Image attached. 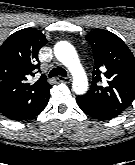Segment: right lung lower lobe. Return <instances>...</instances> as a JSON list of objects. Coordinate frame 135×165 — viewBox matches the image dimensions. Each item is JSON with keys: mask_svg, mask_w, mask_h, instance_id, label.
I'll return each instance as SVG.
<instances>
[{"mask_svg": "<svg viewBox=\"0 0 135 165\" xmlns=\"http://www.w3.org/2000/svg\"><path fill=\"white\" fill-rule=\"evenodd\" d=\"M48 100L49 97L37 103L16 105L0 112L11 120H28L39 115L45 109Z\"/></svg>", "mask_w": 135, "mask_h": 165, "instance_id": "obj_1", "label": "right lung lower lobe"}]
</instances>
